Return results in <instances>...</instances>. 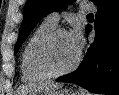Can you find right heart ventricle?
Returning <instances> with one entry per match:
<instances>
[{"instance_id":"right-heart-ventricle-1","label":"right heart ventricle","mask_w":119,"mask_h":95,"mask_svg":"<svg viewBox=\"0 0 119 95\" xmlns=\"http://www.w3.org/2000/svg\"><path fill=\"white\" fill-rule=\"evenodd\" d=\"M56 24L45 19L30 35L21 53V72L25 81H41L48 78L37 66L35 53L40 41L52 30Z\"/></svg>"}]
</instances>
